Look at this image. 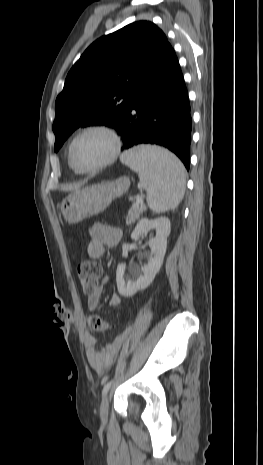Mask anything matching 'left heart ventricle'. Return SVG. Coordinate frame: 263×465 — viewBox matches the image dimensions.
Listing matches in <instances>:
<instances>
[{"mask_svg": "<svg viewBox=\"0 0 263 465\" xmlns=\"http://www.w3.org/2000/svg\"><path fill=\"white\" fill-rule=\"evenodd\" d=\"M112 148V140L107 134L100 131L88 132L75 142L73 158L79 167L90 169L107 159Z\"/></svg>", "mask_w": 263, "mask_h": 465, "instance_id": "left-heart-ventricle-1", "label": "left heart ventricle"}]
</instances>
